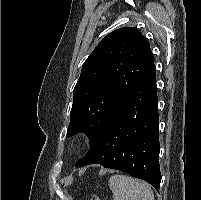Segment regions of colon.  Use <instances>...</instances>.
Wrapping results in <instances>:
<instances>
[{"label":"colon","instance_id":"obj_1","mask_svg":"<svg viewBox=\"0 0 201 200\" xmlns=\"http://www.w3.org/2000/svg\"><path fill=\"white\" fill-rule=\"evenodd\" d=\"M91 200H100V199H99V197L94 196V197H92V199H91Z\"/></svg>","mask_w":201,"mask_h":200}]
</instances>
